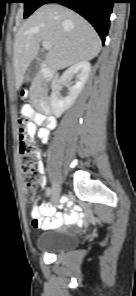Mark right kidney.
<instances>
[{"instance_id":"ca27d5eb","label":"right kidney","mask_w":136,"mask_h":296,"mask_svg":"<svg viewBox=\"0 0 136 296\" xmlns=\"http://www.w3.org/2000/svg\"><path fill=\"white\" fill-rule=\"evenodd\" d=\"M91 72V65L88 61H81L68 68L59 78V83H66L67 80L76 76V82L69 88V95L61 97L57 92L51 94V106L56 117H60L75 102L87 82Z\"/></svg>"}]
</instances>
